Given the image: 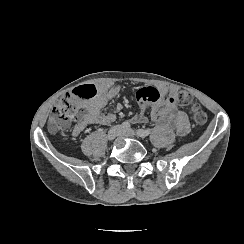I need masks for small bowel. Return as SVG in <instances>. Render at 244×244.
I'll list each match as a JSON object with an SVG mask.
<instances>
[{"label":"small bowel","mask_w":244,"mask_h":244,"mask_svg":"<svg viewBox=\"0 0 244 244\" xmlns=\"http://www.w3.org/2000/svg\"><path fill=\"white\" fill-rule=\"evenodd\" d=\"M95 87V95L85 100L88 106L87 114L77 120L74 125L72 132L74 136L80 135L88 125H107L116 120L115 112H102V110L119 96L122 90L121 86H113L109 82H103ZM175 93V89L166 86L141 88L136 94L140 111L132 118V121L145 123L149 117L151 121L175 132L177 136H186L190 132V122L187 114L174 104ZM119 110L120 107L117 108V111ZM147 111L148 116L146 115Z\"/></svg>","instance_id":"obj_1"}]
</instances>
